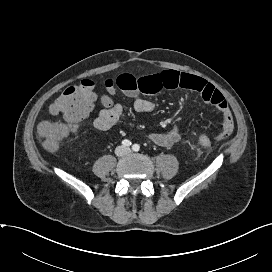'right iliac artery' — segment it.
Listing matches in <instances>:
<instances>
[{
  "mask_svg": "<svg viewBox=\"0 0 272 272\" xmlns=\"http://www.w3.org/2000/svg\"><path fill=\"white\" fill-rule=\"evenodd\" d=\"M131 144H132L131 141H129V140H127V139H125V140L122 141V145H123V146L129 147V146H131Z\"/></svg>",
  "mask_w": 272,
  "mask_h": 272,
  "instance_id": "right-iliac-artery-1",
  "label": "right iliac artery"
}]
</instances>
